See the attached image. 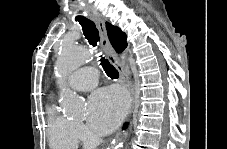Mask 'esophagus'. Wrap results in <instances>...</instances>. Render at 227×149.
Segmentation results:
<instances>
[{
	"mask_svg": "<svg viewBox=\"0 0 227 149\" xmlns=\"http://www.w3.org/2000/svg\"><path fill=\"white\" fill-rule=\"evenodd\" d=\"M97 25H98V29L100 32V36H101V45L103 47V49L105 50L110 62L115 66V68L118 70L120 77L122 79V81L124 82V84L126 85V87L128 88L130 95H131V105L129 108V116L132 114L134 107H135V90L134 87L131 83L130 77L127 73V71L125 70V68L123 67V65L118 61V58L116 56V53L113 50L112 45L109 42V39L107 37V32L105 29V23L104 20L101 18H95Z\"/></svg>",
	"mask_w": 227,
	"mask_h": 149,
	"instance_id": "1",
	"label": "esophagus"
}]
</instances>
